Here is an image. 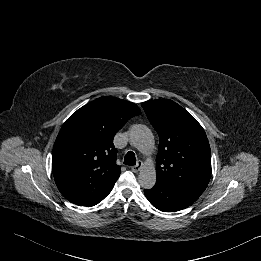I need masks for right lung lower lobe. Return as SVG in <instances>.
Here are the masks:
<instances>
[{"mask_svg":"<svg viewBox=\"0 0 261 261\" xmlns=\"http://www.w3.org/2000/svg\"><path fill=\"white\" fill-rule=\"evenodd\" d=\"M104 198H105V197H104ZM104 198L100 199L99 201H97V202H95V203H93V204L87 205V206H88V207L94 206V205H96L97 203H99L100 201H102Z\"/></svg>","mask_w":261,"mask_h":261,"instance_id":"right-lung-lower-lobe-1","label":"right lung lower lobe"}]
</instances>
